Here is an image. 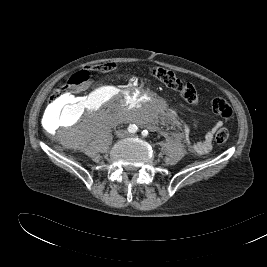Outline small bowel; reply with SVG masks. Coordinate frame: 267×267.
Returning a JSON list of instances; mask_svg holds the SVG:
<instances>
[{"label": "small bowel", "mask_w": 267, "mask_h": 267, "mask_svg": "<svg viewBox=\"0 0 267 267\" xmlns=\"http://www.w3.org/2000/svg\"><path fill=\"white\" fill-rule=\"evenodd\" d=\"M79 102L71 103L69 106L70 108L77 107ZM57 110H52V113H56ZM221 125L220 122L215 124L204 136L201 141L195 142L192 144V148L198 154H206L211 150L212 147V140L215 133V130Z\"/></svg>", "instance_id": "small-bowel-1"}]
</instances>
